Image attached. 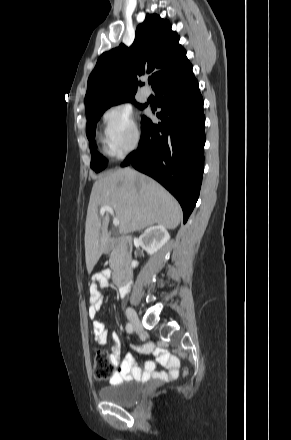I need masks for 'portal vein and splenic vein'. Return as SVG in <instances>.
<instances>
[{
    "label": "portal vein and splenic vein",
    "instance_id": "obj_1",
    "mask_svg": "<svg viewBox=\"0 0 291 440\" xmlns=\"http://www.w3.org/2000/svg\"><path fill=\"white\" fill-rule=\"evenodd\" d=\"M105 212H108V213H110L114 218H113V225L114 226H119V224H120V221L114 216V210H113V208L112 207H110V206H102L101 208H100V213L103 215Z\"/></svg>",
    "mask_w": 291,
    "mask_h": 440
}]
</instances>
